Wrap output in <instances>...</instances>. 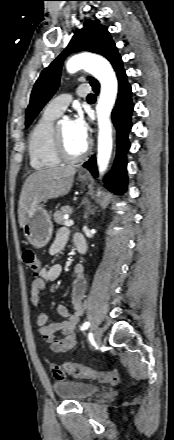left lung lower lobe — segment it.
<instances>
[{
	"instance_id": "1",
	"label": "left lung lower lobe",
	"mask_w": 174,
	"mask_h": 440,
	"mask_svg": "<svg viewBox=\"0 0 174 440\" xmlns=\"http://www.w3.org/2000/svg\"><path fill=\"white\" fill-rule=\"evenodd\" d=\"M118 77L119 89L116 106L112 112V121L117 130V153L112 172L106 180V187L116 193L122 194L126 190V153L130 147L128 141V133L132 127L131 114L133 111V103L131 100V86L127 81L126 72L123 69L122 58L115 55L110 60ZM96 94L99 93V83L95 82L91 85ZM84 167L97 177L96 159L94 156L84 164Z\"/></svg>"
}]
</instances>
